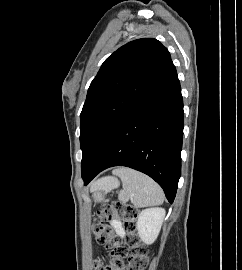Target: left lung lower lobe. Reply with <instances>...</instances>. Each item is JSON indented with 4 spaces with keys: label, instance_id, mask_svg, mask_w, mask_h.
I'll return each instance as SVG.
<instances>
[{
    "label": "left lung lower lobe",
    "instance_id": "1",
    "mask_svg": "<svg viewBox=\"0 0 242 270\" xmlns=\"http://www.w3.org/2000/svg\"><path fill=\"white\" fill-rule=\"evenodd\" d=\"M183 126V99L173 65L116 126L82 173L85 185L109 167L127 166L153 178L172 203L181 176Z\"/></svg>",
    "mask_w": 242,
    "mask_h": 270
}]
</instances>
